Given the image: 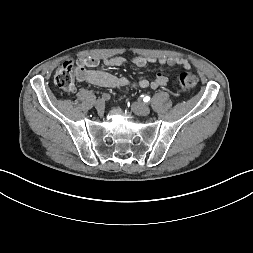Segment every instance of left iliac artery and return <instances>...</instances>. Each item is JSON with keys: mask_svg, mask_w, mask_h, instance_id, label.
I'll list each match as a JSON object with an SVG mask.
<instances>
[{"mask_svg": "<svg viewBox=\"0 0 253 253\" xmlns=\"http://www.w3.org/2000/svg\"><path fill=\"white\" fill-rule=\"evenodd\" d=\"M144 102H148L149 100H150V97L149 96H146V97H144Z\"/></svg>", "mask_w": 253, "mask_h": 253, "instance_id": "obj_1", "label": "left iliac artery"}]
</instances>
